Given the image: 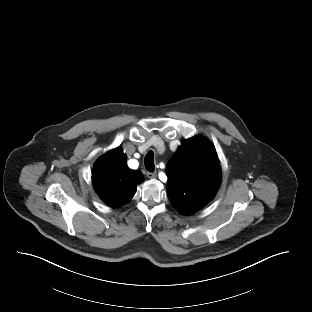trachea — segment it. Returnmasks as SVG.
<instances>
[{
    "label": "trachea",
    "instance_id": "1",
    "mask_svg": "<svg viewBox=\"0 0 312 312\" xmlns=\"http://www.w3.org/2000/svg\"><path fill=\"white\" fill-rule=\"evenodd\" d=\"M144 164H145V168L148 171L150 172L154 171V159H153V153L151 151L145 156Z\"/></svg>",
    "mask_w": 312,
    "mask_h": 312
}]
</instances>
